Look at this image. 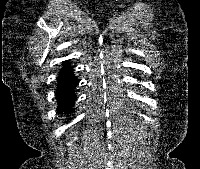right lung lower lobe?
Listing matches in <instances>:
<instances>
[{"label":"right lung lower lobe","mask_w":200,"mask_h":169,"mask_svg":"<svg viewBox=\"0 0 200 169\" xmlns=\"http://www.w3.org/2000/svg\"><path fill=\"white\" fill-rule=\"evenodd\" d=\"M78 83L79 80L74 76L73 68L68 61L64 62L58 76V88L56 92L60 112L68 114L72 111L76 100L75 88Z\"/></svg>","instance_id":"right-lung-lower-lobe-1"}]
</instances>
